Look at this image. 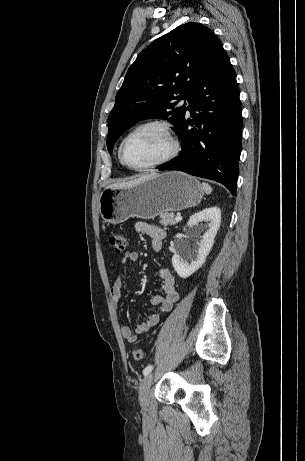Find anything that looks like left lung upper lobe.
<instances>
[{"label": "left lung upper lobe", "instance_id": "5c2ea615", "mask_svg": "<svg viewBox=\"0 0 305 461\" xmlns=\"http://www.w3.org/2000/svg\"><path fill=\"white\" fill-rule=\"evenodd\" d=\"M223 47L216 35L199 23H187L156 39L138 54L128 69L108 118L107 148L138 121L167 119L176 129L194 87L216 62Z\"/></svg>", "mask_w": 305, "mask_h": 461}]
</instances>
